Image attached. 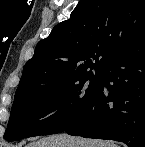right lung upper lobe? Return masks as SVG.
Here are the masks:
<instances>
[{
	"label": "right lung upper lobe",
	"instance_id": "1",
	"mask_svg": "<svg viewBox=\"0 0 145 147\" xmlns=\"http://www.w3.org/2000/svg\"><path fill=\"white\" fill-rule=\"evenodd\" d=\"M145 33V0H80L70 19L41 40L25 64L16 93L61 87L77 76L101 73Z\"/></svg>",
	"mask_w": 145,
	"mask_h": 147
}]
</instances>
